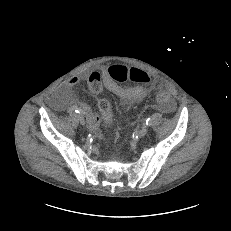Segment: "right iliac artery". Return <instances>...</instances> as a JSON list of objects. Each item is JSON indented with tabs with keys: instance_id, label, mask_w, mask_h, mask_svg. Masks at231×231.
Returning <instances> with one entry per match:
<instances>
[{
	"instance_id": "obj_1",
	"label": "right iliac artery",
	"mask_w": 231,
	"mask_h": 231,
	"mask_svg": "<svg viewBox=\"0 0 231 231\" xmlns=\"http://www.w3.org/2000/svg\"><path fill=\"white\" fill-rule=\"evenodd\" d=\"M72 110H74V111L77 112V113H83V110L80 109V108H78L77 106H73V107H72Z\"/></svg>"
}]
</instances>
